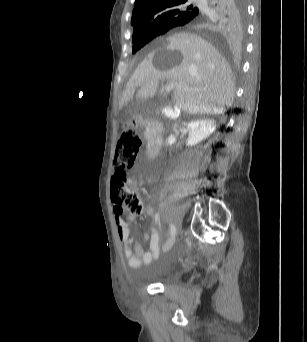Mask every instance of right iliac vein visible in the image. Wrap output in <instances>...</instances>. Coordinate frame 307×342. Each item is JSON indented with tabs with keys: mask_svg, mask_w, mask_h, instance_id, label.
Listing matches in <instances>:
<instances>
[{
	"mask_svg": "<svg viewBox=\"0 0 307 342\" xmlns=\"http://www.w3.org/2000/svg\"><path fill=\"white\" fill-rule=\"evenodd\" d=\"M173 243H174V239L167 241V243H165V245L163 246V251L167 252L171 248Z\"/></svg>",
	"mask_w": 307,
	"mask_h": 342,
	"instance_id": "1",
	"label": "right iliac vein"
}]
</instances>
